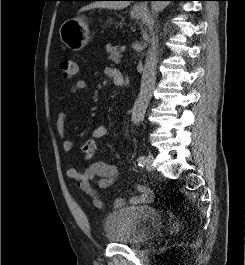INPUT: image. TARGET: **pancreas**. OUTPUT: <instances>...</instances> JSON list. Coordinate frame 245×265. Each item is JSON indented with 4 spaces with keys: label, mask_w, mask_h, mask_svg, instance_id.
Instances as JSON below:
<instances>
[{
    "label": "pancreas",
    "mask_w": 245,
    "mask_h": 265,
    "mask_svg": "<svg viewBox=\"0 0 245 265\" xmlns=\"http://www.w3.org/2000/svg\"><path fill=\"white\" fill-rule=\"evenodd\" d=\"M107 53L109 54L108 59L113 61L114 63L118 64L121 61L122 55L120 51L118 50L117 46L109 47L107 48Z\"/></svg>",
    "instance_id": "cf45deb5"
}]
</instances>
